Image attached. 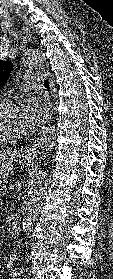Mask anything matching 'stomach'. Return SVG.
<instances>
[{
  "label": "stomach",
  "instance_id": "0dacf381",
  "mask_svg": "<svg viewBox=\"0 0 113 279\" xmlns=\"http://www.w3.org/2000/svg\"><path fill=\"white\" fill-rule=\"evenodd\" d=\"M21 157L22 161L27 164H30L33 161V157L31 156L22 155ZM12 168V162L0 163V183L7 177L9 172H11Z\"/></svg>",
  "mask_w": 113,
  "mask_h": 279
}]
</instances>
